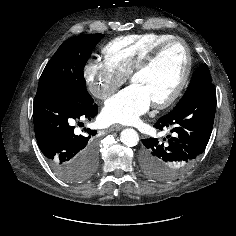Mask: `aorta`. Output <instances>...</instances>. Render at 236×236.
<instances>
[{"label":"aorta","instance_id":"obj_1","mask_svg":"<svg viewBox=\"0 0 236 236\" xmlns=\"http://www.w3.org/2000/svg\"><path fill=\"white\" fill-rule=\"evenodd\" d=\"M120 140L128 147H134L139 142V135L137 131L131 128L124 129L120 134Z\"/></svg>","mask_w":236,"mask_h":236}]
</instances>
